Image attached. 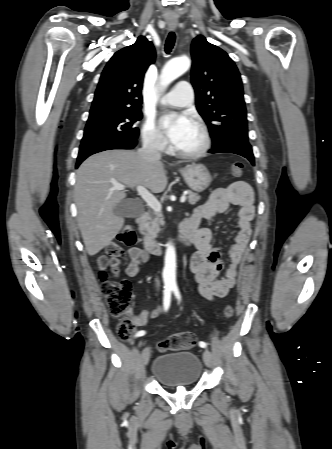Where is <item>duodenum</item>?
<instances>
[{
    "instance_id": "obj_1",
    "label": "duodenum",
    "mask_w": 332,
    "mask_h": 449,
    "mask_svg": "<svg viewBox=\"0 0 332 449\" xmlns=\"http://www.w3.org/2000/svg\"><path fill=\"white\" fill-rule=\"evenodd\" d=\"M148 219V214L146 212L142 213L137 217L136 222L141 227L144 228ZM194 229L190 218H186L180 225L179 230V241L186 246L191 245ZM162 243L149 235H145L143 239V247L147 252L151 253H161Z\"/></svg>"
}]
</instances>
